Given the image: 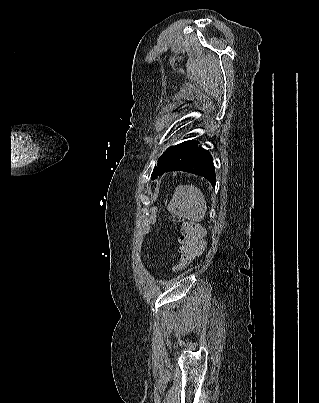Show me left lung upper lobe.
Here are the masks:
<instances>
[{"label": "left lung upper lobe", "mask_w": 319, "mask_h": 403, "mask_svg": "<svg viewBox=\"0 0 319 403\" xmlns=\"http://www.w3.org/2000/svg\"><path fill=\"white\" fill-rule=\"evenodd\" d=\"M179 146L180 144L171 146L161 155V157L158 160V164L154 168L153 173L151 175L152 179H155L157 175H162L164 173V170L168 166L172 156L175 154Z\"/></svg>", "instance_id": "left-lung-upper-lobe-1"}]
</instances>
